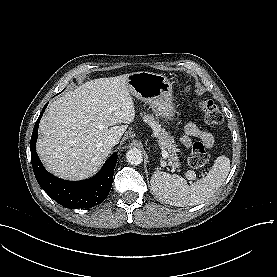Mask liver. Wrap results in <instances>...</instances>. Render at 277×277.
<instances>
[{
    "mask_svg": "<svg viewBox=\"0 0 277 277\" xmlns=\"http://www.w3.org/2000/svg\"><path fill=\"white\" fill-rule=\"evenodd\" d=\"M128 76L88 81L50 103L40 121L36 145L49 172L82 180L98 171L111 153L107 137L120 140L135 118Z\"/></svg>",
    "mask_w": 277,
    "mask_h": 277,
    "instance_id": "liver-1",
    "label": "liver"
}]
</instances>
